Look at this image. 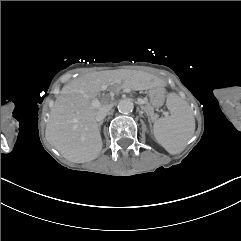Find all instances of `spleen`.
Listing matches in <instances>:
<instances>
[{"mask_svg": "<svg viewBox=\"0 0 241 241\" xmlns=\"http://www.w3.org/2000/svg\"><path fill=\"white\" fill-rule=\"evenodd\" d=\"M167 112L170 117L159 118L154 123L157 142L170 154L180 153L195 131V121L190 105L177 94L168 96Z\"/></svg>", "mask_w": 241, "mask_h": 241, "instance_id": "3e777b00", "label": "spleen"}]
</instances>
